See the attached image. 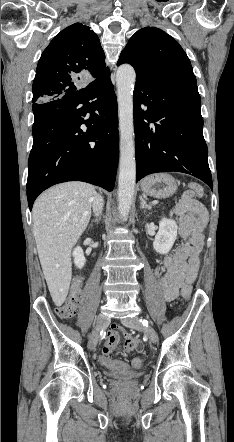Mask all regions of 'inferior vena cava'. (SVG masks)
<instances>
[{
	"instance_id": "obj_1",
	"label": "inferior vena cava",
	"mask_w": 234,
	"mask_h": 442,
	"mask_svg": "<svg viewBox=\"0 0 234 442\" xmlns=\"http://www.w3.org/2000/svg\"><path fill=\"white\" fill-rule=\"evenodd\" d=\"M103 198L99 194L95 193L92 199V207L93 212L96 216H98L103 208Z\"/></svg>"
}]
</instances>
